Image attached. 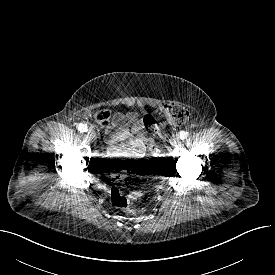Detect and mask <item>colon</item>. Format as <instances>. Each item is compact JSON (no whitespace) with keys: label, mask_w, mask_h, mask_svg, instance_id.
Masks as SVG:
<instances>
[{"label":"colon","mask_w":275,"mask_h":275,"mask_svg":"<svg viewBox=\"0 0 275 275\" xmlns=\"http://www.w3.org/2000/svg\"><path fill=\"white\" fill-rule=\"evenodd\" d=\"M164 117L173 125H183L188 122L190 118L189 110L182 104L175 103L166 105L162 111ZM95 120L106 126L109 122L110 113L106 109H100L95 112ZM148 136L146 138V144L152 151L155 138L159 135V127L151 117H147L145 120ZM148 163L153 169H158L160 166V157L154 152L148 158ZM127 170L125 166L119 165L114 169L115 179L110 189V201L111 204L126 212H133L131 203L138 202L143 199L144 194L140 190H130L124 176Z\"/></svg>","instance_id":"colon-1"}]
</instances>
